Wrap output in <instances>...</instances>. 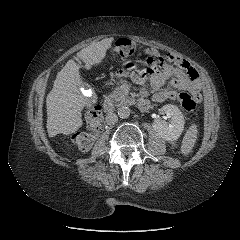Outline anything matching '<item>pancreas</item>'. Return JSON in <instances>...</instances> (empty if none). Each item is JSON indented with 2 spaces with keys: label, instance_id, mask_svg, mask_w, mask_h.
<instances>
[{
  "label": "pancreas",
  "instance_id": "obj_1",
  "mask_svg": "<svg viewBox=\"0 0 240 240\" xmlns=\"http://www.w3.org/2000/svg\"><path fill=\"white\" fill-rule=\"evenodd\" d=\"M129 97L122 91L120 87L106 97L105 103H113L115 106L126 104L129 101Z\"/></svg>",
  "mask_w": 240,
  "mask_h": 240
}]
</instances>
